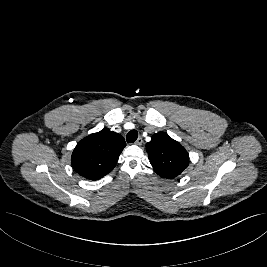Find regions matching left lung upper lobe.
Returning a JSON list of instances; mask_svg holds the SVG:
<instances>
[{"instance_id": "1", "label": "left lung upper lobe", "mask_w": 267, "mask_h": 267, "mask_svg": "<svg viewBox=\"0 0 267 267\" xmlns=\"http://www.w3.org/2000/svg\"><path fill=\"white\" fill-rule=\"evenodd\" d=\"M146 150L154 171L161 177L173 179L189 164L185 148L168 134L159 132L146 144Z\"/></svg>"}]
</instances>
